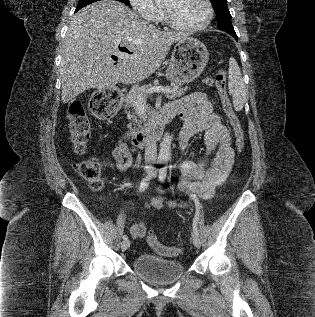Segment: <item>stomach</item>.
Returning <instances> with one entry per match:
<instances>
[{"mask_svg":"<svg viewBox=\"0 0 315 317\" xmlns=\"http://www.w3.org/2000/svg\"><path fill=\"white\" fill-rule=\"evenodd\" d=\"M209 59L205 45L188 37L175 43L166 76L173 83L185 84L196 79L204 70Z\"/></svg>","mask_w":315,"mask_h":317,"instance_id":"stomach-1","label":"stomach"}]
</instances>
